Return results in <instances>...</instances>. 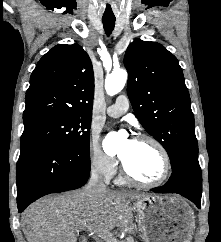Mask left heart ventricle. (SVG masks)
<instances>
[{
    "instance_id": "left-heart-ventricle-1",
    "label": "left heart ventricle",
    "mask_w": 221,
    "mask_h": 242,
    "mask_svg": "<svg viewBox=\"0 0 221 242\" xmlns=\"http://www.w3.org/2000/svg\"><path fill=\"white\" fill-rule=\"evenodd\" d=\"M119 155L123 158L129 171L141 180L154 181L162 174V157L151 142L125 140Z\"/></svg>"
}]
</instances>
